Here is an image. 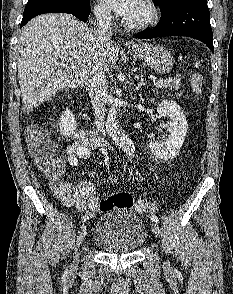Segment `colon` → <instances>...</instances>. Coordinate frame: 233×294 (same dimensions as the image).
Returning a JSON list of instances; mask_svg holds the SVG:
<instances>
[{"label":"colon","instance_id":"1","mask_svg":"<svg viewBox=\"0 0 233 294\" xmlns=\"http://www.w3.org/2000/svg\"><path fill=\"white\" fill-rule=\"evenodd\" d=\"M189 87L193 95L199 96L202 90V76L196 71L189 78ZM28 148L32 158L55 181H59L62 174L61 163L53 158V145L44 136L40 126L32 125L27 130ZM93 210L106 211L114 208L133 209L138 213L153 212L154 204L141 198L137 202L129 193H117L105 199L92 200Z\"/></svg>","mask_w":233,"mask_h":294}]
</instances>
